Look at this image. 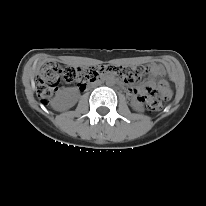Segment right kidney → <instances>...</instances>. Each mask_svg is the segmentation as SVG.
Returning <instances> with one entry per match:
<instances>
[{"instance_id":"ca27d5eb","label":"right kidney","mask_w":206,"mask_h":206,"mask_svg":"<svg viewBox=\"0 0 206 206\" xmlns=\"http://www.w3.org/2000/svg\"><path fill=\"white\" fill-rule=\"evenodd\" d=\"M77 101L76 96L72 91L64 89L60 91L56 97L54 102V108L57 110H66L71 108Z\"/></svg>"}]
</instances>
